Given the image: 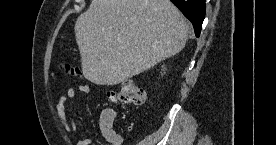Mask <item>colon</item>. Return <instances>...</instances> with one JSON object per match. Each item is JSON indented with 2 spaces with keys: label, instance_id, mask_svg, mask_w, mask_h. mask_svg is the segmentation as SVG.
I'll return each mask as SVG.
<instances>
[{
  "label": "colon",
  "instance_id": "obj_1",
  "mask_svg": "<svg viewBox=\"0 0 276 145\" xmlns=\"http://www.w3.org/2000/svg\"><path fill=\"white\" fill-rule=\"evenodd\" d=\"M61 69L69 74H76L69 65H61ZM109 98L124 106H141L145 102V92L136 83L130 80L124 81L118 90H111Z\"/></svg>",
  "mask_w": 276,
  "mask_h": 145
}]
</instances>
